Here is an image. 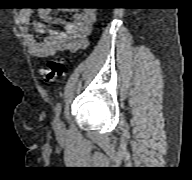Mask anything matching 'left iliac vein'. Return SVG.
I'll return each mask as SVG.
<instances>
[{
    "instance_id": "obj_1",
    "label": "left iliac vein",
    "mask_w": 192,
    "mask_h": 180,
    "mask_svg": "<svg viewBox=\"0 0 192 180\" xmlns=\"http://www.w3.org/2000/svg\"><path fill=\"white\" fill-rule=\"evenodd\" d=\"M58 129L59 130H62L63 129V123L61 121H59L58 123Z\"/></svg>"
}]
</instances>
